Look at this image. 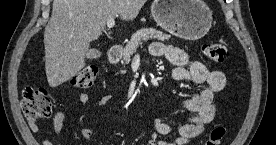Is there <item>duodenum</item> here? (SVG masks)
<instances>
[{
	"mask_svg": "<svg viewBox=\"0 0 276 145\" xmlns=\"http://www.w3.org/2000/svg\"><path fill=\"white\" fill-rule=\"evenodd\" d=\"M122 47L120 46H111L107 51V59L110 62L118 61L122 55Z\"/></svg>",
	"mask_w": 276,
	"mask_h": 145,
	"instance_id": "410a0bca",
	"label": "duodenum"
}]
</instances>
